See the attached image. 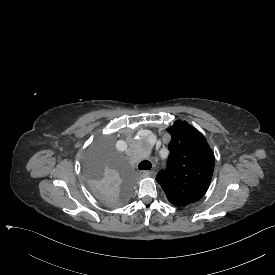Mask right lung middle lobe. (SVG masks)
Masks as SVG:
<instances>
[{
	"label": "right lung middle lobe",
	"instance_id": "1",
	"mask_svg": "<svg viewBox=\"0 0 275 275\" xmlns=\"http://www.w3.org/2000/svg\"><path fill=\"white\" fill-rule=\"evenodd\" d=\"M84 175L95 199L103 206L115 208L132 195L136 172L107 136L95 139L87 151Z\"/></svg>",
	"mask_w": 275,
	"mask_h": 275
}]
</instances>
